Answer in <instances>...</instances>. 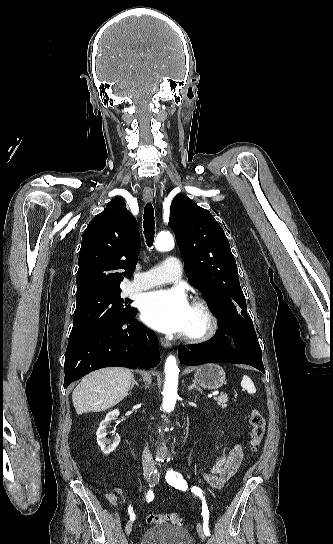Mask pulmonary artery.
Wrapping results in <instances>:
<instances>
[{"label":"pulmonary artery","instance_id":"1","mask_svg":"<svg viewBox=\"0 0 333 544\" xmlns=\"http://www.w3.org/2000/svg\"><path fill=\"white\" fill-rule=\"evenodd\" d=\"M182 275V265L178 258L167 257L160 265L149 271L139 273L129 283L128 289L131 292H138L153 288L158 285L171 283L178 280Z\"/></svg>","mask_w":333,"mask_h":544}]
</instances>
